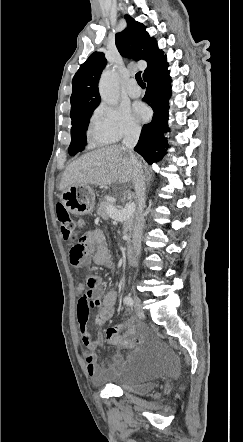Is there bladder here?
<instances>
[{"label":"bladder","instance_id":"obj_1","mask_svg":"<svg viewBox=\"0 0 243 442\" xmlns=\"http://www.w3.org/2000/svg\"><path fill=\"white\" fill-rule=\"evenodd\" d=\"M154 379V360L141 353H132L120 362L108 384L129 393L145 395L155 390Z\"/></svg>","mask_w":243,"mask_h":442}]
</instances>
